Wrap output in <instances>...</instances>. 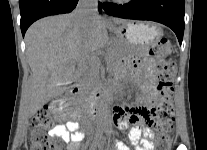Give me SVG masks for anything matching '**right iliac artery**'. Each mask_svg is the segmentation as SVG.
I'll return each instance as SVG.
<instances>
[{
	"mask_svg": "<svg viewBox=\"0 0 207 150\" xmlns=\"http://www.w3.org/2000/svg\"><path fill=\"white\" fill-rule=\"evenodd\" d=\"M102 134V132H99V134L98 135H101ZM92 148V147H91ZM91 148H90V150H91Z\"/></svg>",
	"mask_w": 207,
	"mask_h": 150,
	"instance_id": "right-iliac-artery-1",
	"label": "right iliac artery"
}]
</instances>
